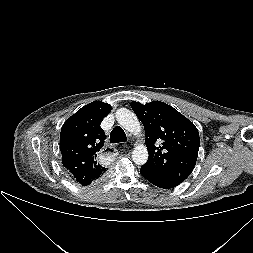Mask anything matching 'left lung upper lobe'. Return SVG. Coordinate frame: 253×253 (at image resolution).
I'll return each mask as SVG.
<instances>
[{
  "label": "left lung upper lobe",
  "instance_id": "5c2ea615",
  "mask_svg": "<svg viewBox=\"0 0 253 253\" xmlns=\"http://www.w3.org/2000/svg\"><path fill=\"white\" fill-rule=\"evenodd\" d=\"M131 107L145 129L148 161L146 170L182 183L193 171L199 150V132L195 125L176 109L161 101Z\"/></svg>",
  "mask_w": 253,
  "mask_h": 253
}]
</instances>
